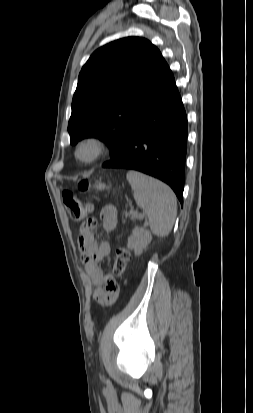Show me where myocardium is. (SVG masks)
I'll return each instance as SVG.
<instances>
[{
	"instance_id": "myocardium-1",
	"label": "myocardium",
	"mask_w": 253,
	"mask_h": 413,
	"mask_svg": "<svg viewBox=\"0 0 253 413\" xmlns=\"http://www.w3.org/2000/svg\"><path fill=\"white\" fill-rule=\"evenodd\" d=\"M105 141L99 136H86L79 140L75 148V158L83 164L97 161L105 152Z\"/></svg>"
}]
</instances>
